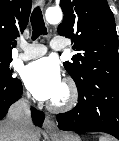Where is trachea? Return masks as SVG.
Masks as SVG:
<instances>
[{
    "label": "trachea",
    "mask_w": 119,
    "mask_h": 141,
    "mask_svg": "<svg viewBox=\"0 0 119 141\" xmlns=\"http://www.w3.org/2000/svg\"><path fill=\"white\" fill-rule=\"evenodd\" d=\"M30 20L33 29V34H32L33 40H35L38 36L45 35L47 33L42 12L39 7H36L33 10Z\"/></svg>",
    "instance_id": "3493384b"
}]
</instances>
